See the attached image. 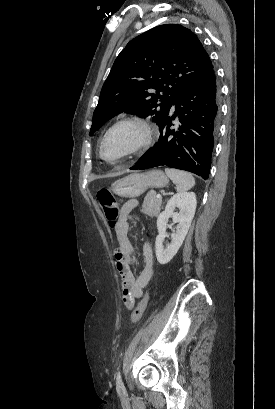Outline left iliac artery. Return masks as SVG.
<instances>
[{
    "label": "left iliac artery",
    "mask_w": 275,
    "mask_h": 409,
    "mask_svg": "<svg viewBox=\"0 0 275 409\" xmlns=\"http://www.w3.org/2000/svg\"><path fill=\"white\" fill-rule=\"evenodd\" d=\"M116 385L117 387H121L123 385L122 383V379H121V374L120 371L117 373V377H116Z\"/></svg>",
    "instance_id": "1"
}]
</instances>
